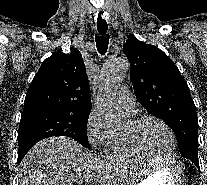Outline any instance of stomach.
<instances>
[{
    "mask_svg": "<svg viewBox=\"0 0 207 185\" xmlns=\"http://www.w3.org/2000/svg\"><path fill=\"white\" fill-rule=\"evenodd\" d=\"M187 171L179 162H170L150 174L138 185H187Z\"/></svg>",
    "mask_w": 207,
    "mask_h": 185,
    "instance_id": "stomach-1",
    "label": "stomach"
}]
</instances>
